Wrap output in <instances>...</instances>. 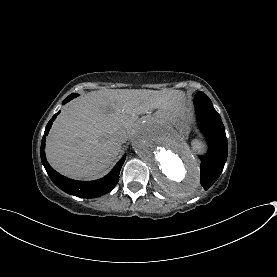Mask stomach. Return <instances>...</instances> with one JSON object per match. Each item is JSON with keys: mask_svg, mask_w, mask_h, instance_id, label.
I'll return each instance as SVG.
<instances>
[{"mask_svg": "<svg viewBox=\"0 0 277 277\" xmlns=\"http://www.w3.org/2000/svg\"><path fill=\"white\" fill-rule=\"evenodd\" d=\"M157 118L163 121L171 122L180 130H187L192 120V114L186 107L184 97L179 104L172 110L161 109L157 112Z\"/></svg>", "mask_w": 277, "mask_h": 277, "instance_id": "stomach-1", "label": "stomach"}]
</instances>
